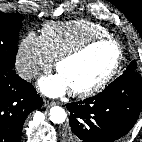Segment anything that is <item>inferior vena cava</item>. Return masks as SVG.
Masks as SVG:
<instances>
[{"label":"inferior vena cava","instance_id":"inferior-vena-cava-1","mask_svg":"<svg viewBox=\"0 0 142 142\" xmlns=\"http://www.w3.org/2000/svg\"><path fill=\"white\" fill-rule=\"evenodd\" d=\"M38 72L39 69L35 66L23 67L18 70L19 76L25 80H29L35 77L36 75H38Z\"/></svg>","mask_w":142,"mask_h":142}]
</instances>
